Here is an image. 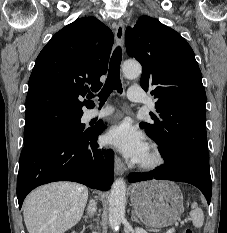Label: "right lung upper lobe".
I'll return each instance as SVG.
<instances>
[{"label":"right lung upper lobe","instance_id":"1","mask_svg":"<svg viewBox=\"0 0 227 233\" xmlns=\"http://www.w3.org/2000/svg\"><path fill=\"white\" fill-rule=\"evenodd\" d=\"M112 31L95 17L57 32L38 55L29 79L24 135L81 118V99L99 90L113 45Z\"/></svg>","mask_w":227,"mask_h":233}]
</instances>
